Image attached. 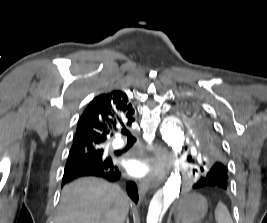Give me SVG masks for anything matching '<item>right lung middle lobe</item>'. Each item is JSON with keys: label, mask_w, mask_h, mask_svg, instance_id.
<instances>
[{"label": "right lung middle lobe", "mask_w": 267, "mask_h": 223, "mask_svg": "<svg viewBox=\"0 0 267 223\" xmlns=\"http://www.w3.org/2000/svg\"><path fill=\"white\" fill-rule=\"evenodd\" d=\"M91 163L106 165L112 163V159L104 148L93 145H83L70 150L65 171Z\"/></svg>", "instance_id": "dd1d6c3e"}]
</instances>
